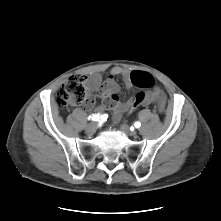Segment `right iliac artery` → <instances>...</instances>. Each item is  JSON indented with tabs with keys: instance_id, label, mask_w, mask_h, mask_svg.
<instances>
[{
	"instance_id": "right-iliac-artery-1",
	"label": "right iliac artery",
	"mask_w": 221,
	"mask_h": 221,
	"mask_svg": "<svg viewBox=\"0 0 221 221\" xmlns=\"http://www.w3.org/2000/svg\"><path fill=\"white\" fill-rule=\"evenodd\" d=\"M100 118H101V117H100L99 115H97V114H95V115L93 114V115H91V116L88 117L89 120L91 119V120H93V121H99Z\"/></svg>"
}]
</instances>
